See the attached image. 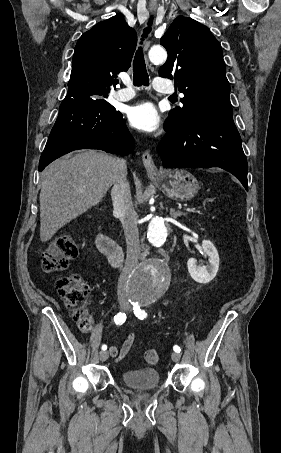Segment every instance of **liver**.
Wrapping results in <instances>:
<instances>
[{"mask_svg":"<svg viewBox=\"0 0 281 453\" xmlns=\"http://www.w3.org/2000/svg\"><path fill=\"white\" fill-rule=\"evenodd\" d=\"M41 172L40 239L46 243L72 218L103 200L119 176V162L102 150H75Z\"/></svg>","mask_w":281,"mask_h":453,"instance_id":"obj_1","label":"liver"}]
</instances>
